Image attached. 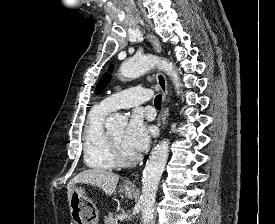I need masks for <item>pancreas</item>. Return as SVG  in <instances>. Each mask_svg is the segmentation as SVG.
I'll return each instance as SVG.
<instances>
[{
	"label": "pancreas",
	"instance_id": "obj_1",
	"mask_svg": "<svg viewBox=\"0 0 275 224\" xmlns=\"http://www.w3.org/2000/svg\"><path fill=\"white\" fill-rule=\"evenodd\" d=\"M104 224H117L116 220L114 219V214L109 213L104 220Z\"/></svg>",
	"mask_w": 275,
	"mask_h": 224
}]
</instances>
